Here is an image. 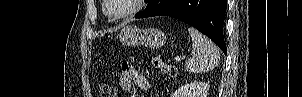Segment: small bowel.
<instances>
[{
	"label": "small bowel",
	"instance_id": "small-bowel-1",
	"mask_svg": "<svg viewBox=\"0 0 302 97\" xmlns=\"http://www.w3.org/2000/svg\"><path fill=\"white\" fill-rule=\"evenodd\" d=\"M119 84L125 91L131 90L134 85L142 91L149 88V81L147 78L127 62H124L121 65Z\"/></svg>",
	"mask_w": 302,
	"mask_h": 97
}]
</instances>
